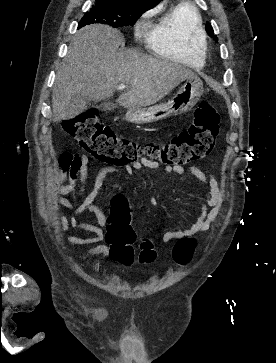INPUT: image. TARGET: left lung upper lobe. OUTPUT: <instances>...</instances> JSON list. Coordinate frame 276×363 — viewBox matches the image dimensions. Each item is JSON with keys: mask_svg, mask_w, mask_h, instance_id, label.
Segmentation results:
<instances>
[{"mask_svg": "<svg viewBox=\"0 0 276 363\" xmlns=\"http://www.w3.org/2000/svg\"><path fill=\"white\" fill-rule=\"evenodd\" d=\"M206 31L209 33V35H212L214 38L217 39V36L213 34L214 31L210 23L206 24Z\"/></svg>", "mask_w": 276, "mask_h": 363, "instance_id": "obj_1", "label": "left lung upper lobe"}]
</instances>
